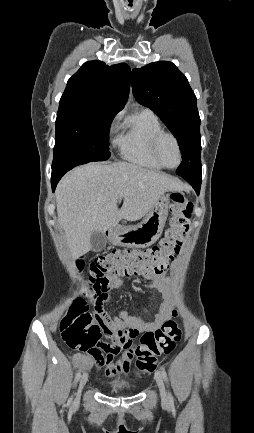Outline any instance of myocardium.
Instances as JSON below:
<instances>
[{
	"label": "myocardium",
	"instance_id": "obj_1",
	"mask_svg": "<svg viewBox=\"0 0 254 433\" xmlns=\"http://www.w3.org/2000/svg\"><path fill=\"white\" fill-rule=\"evenodd\" d=\"M164 136L170 137L174 141V143L176 145V148H177V151H178V156H179L178 163L175 166H172V167L165 165L162 162V160L160 159L159 154H158V145H159L160 140ZM150 151H151V154H152L153 158L156 160V162L162 168L172 170V169L178 168L180 166V164L182 163L183 156H182V150H181L180 143H179L177 137L173 133H171V132H168V131H165V130H160V131L156 132L153 135L152 139H151Z\"/></svg>",
	"mask_w": 254,
	"mask_h": 433
}]
</instances>
